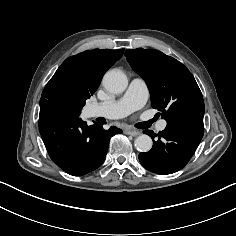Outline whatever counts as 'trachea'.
<instances>
[{"label": "trachea", "mask_w": 236, "mask_h": 236, "mask_svg": "<svg viewBox=\"0 0 236 236\" xmlns=\"http://www.w3.org/2000/svg\"><path fill=\"white\" fill-rule=\"evenodd\" d=\"M136 127L140 129H145V128H148V124L146 122L138 123Z\"/></svg>", "instance_id": "1"}]
</instances>
